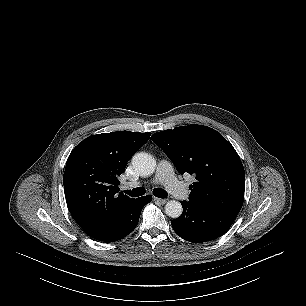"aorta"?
Instances as JSON below:
<instances>
[{"instance_id": "aorta-1", "label": "aorta", "mask_w": 306, "mask_h": 306, "mask_svg": "<svg viewBox=\"0 0 306 306\" xmlns=\"http://www.w3.org/2000/svg\"><path fill=\"white\" fill-rule=\"evenodd\" d=\"M134 169L142 176H149L154 173L156 168L155 159L148 153L139 152L132 157ZM183 211L180 202L171 200L165 205V213L171 218H178Z\"/></svg>"}]
</instances>
